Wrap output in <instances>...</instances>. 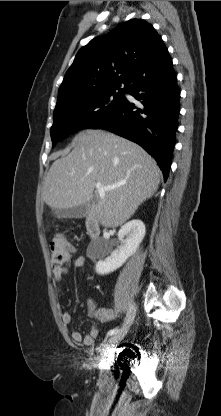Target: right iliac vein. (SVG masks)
I'll list each match as a JSON object with an SVG mask.
<instances>
[{"label": "right iliac vein", "instance_id": "63e3f726", "mask_svg": "<svg viewBox=\"0 0 221 416\" xmlns=\"http://www.w3.org/2000/svg\"><path fill=\"white\" fill-rule=\"evenodd\" d=\"M135 314H136V305L133 303V304L130 305V307L127 311V315H126V318H125V321H124V324H123L121 330L118 331L116 334H114L112 337H110L108 339V341L103 346V351L102 352H105L106 349L110 345L118 343L119 341H121L125 337V335L128 332V329H129L130 325L132 324V322L135 318Z\"/></svg>", "mask_w": 221, "mask_h": 416}]
</instances>
